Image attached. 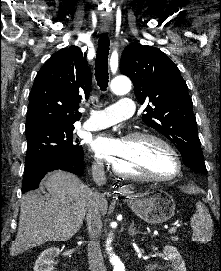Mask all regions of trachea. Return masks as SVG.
Here are the masks:
<instances>
[{
    "label": "trachea",
    "mask_w": 221,
    "mask_h": 271,
    "mask_svg": "<svg viewBox=\"0 0 221 271\" xmlns=\"http://www.w3.org/2000/svg\"><path fill=\"white\" fill-rule=\"evenodd\" d=\"M109 38L102 35L98 41L97 55L95 61V77L97 84L102 91H106L109 81L108 73V55H109Z\"/></svg>",
    "instance_id": "trachea-1"
}]
</instances>
